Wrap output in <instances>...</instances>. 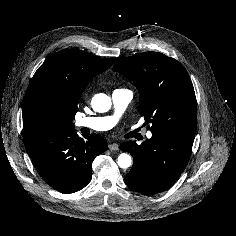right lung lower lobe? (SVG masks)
<instances>
[{
	"mask_svg": "<svg viewBox=\"0 0 236 236\" xmlns=\"http://www.w3.org/2000/svg\"><path fill=\"white\" fill-rule=\"evenodd\" d=\"M107 149V142L97 134L80 138L75 130L40 140L26 150L41 177L55 190L73 193L91 180L92 162Z\"/></svg>",
	"mask_w": 236,
	"mask_h": 236,
	"instance_id": "obj_1",
	"label": "right lung lower lobe"
}]
</instances>
